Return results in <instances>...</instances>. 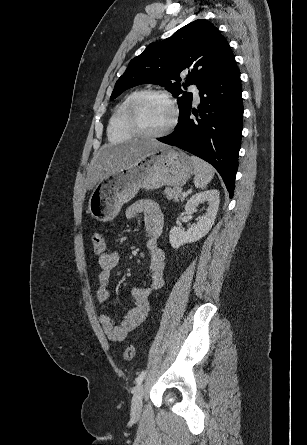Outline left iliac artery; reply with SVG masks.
I'll return each mask as SVG.
<instances>
[{"mask_svg": "<svg viewBox=\"0 0 307 445\" xmlns=\"http://www.w3.org/2000/svg\"><path fill=\"white\" fill-rule=\"evenodd\" d=\"M145 374H146V372H145V371H142V372L140 373V375L136 378L137 386L141 384V382L143 381V379H144V377H145Z\"/></svg>", "mask_w": 307, "mask_h": 445, "instance_id": "obj_1", "label": "left iliac artery"}]
</instances>
